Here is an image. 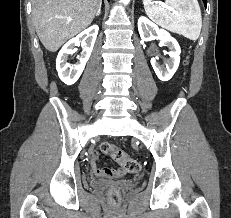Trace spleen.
<instances>
[{
    "label": "spleen",
    "mask_w": 231,
    "mask_h": 218,
    "mask_svg": "<svg viewBox=\"0 0 231 218\" xmlns=\"http://www.w3.org/2000/svg\"><path fill=\"white\" fill-rule=\"evenodd\" d=\"M170 8L155 5L152 0H143L147 16L167 30L197 40L201 28V10L197 0H165Z\"/></svg>",
    "instance_id": "spleen-1"
}]
</instances>
